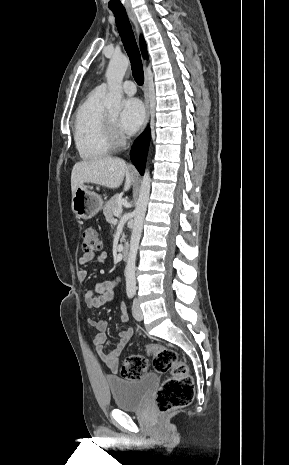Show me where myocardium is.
Instances as JSON below:
<instances>
[{"label":"myocardium","instance_id":"myocardium-1","mask_svg":"<svg viewBox=\"0 0 289 465\" xmlns=\"http://www.w3.org/2000/svg\"><path fill=\"white\" fill-rule=\"evenodd\" d=\"M105 131L108 142L112 147L120 145L121 139L116 129V122L106 114L105 117Z\"/></svg>","mask_w":289,"mask_h":465}]
</instances>
